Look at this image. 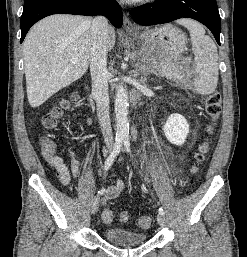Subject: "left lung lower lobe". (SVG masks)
Wrapping results in <instances>:
<instances>
[{
  "mask_svg": "<svg viewBox=\"0 0 247 257\" xmlns=\"http://www.w3.org/2000/svg\"><path fill=\"white\" fill-rule=\"evenodd\" d=\"M132 18L146 26L192 18L207 26L220 45L221 20L216 0H157L154 5L134 8Z\"/></svg>",
  "mask_w": 247,
  "mask_h": 257,
  "instance_id": "1",
  "label": "left lung lower lobe"
}]
</instances>
